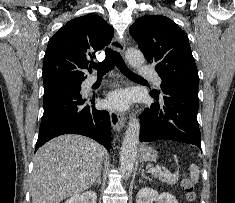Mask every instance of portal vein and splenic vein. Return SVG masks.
<instances>
[{
  "mask_svg": "<svg viewBox=\"0 0 235 203\" xmlns=\"http://www.w3.org/2000/svg\"><path fill=\"white\" fill-rule=\"evenodd\" d=\"M155 171L162 172V171H161V167H160V166H156V167L150 168V169L148 170V172H155ZM164 174H165L166 176H171V174H170L169 172H165Z\"/></svg>",
  "mask_w": 235,
  "mask_h": 203,
  "instance_id": "1",
  "label": "portal vein and splenic vein"
}]
</instances>
